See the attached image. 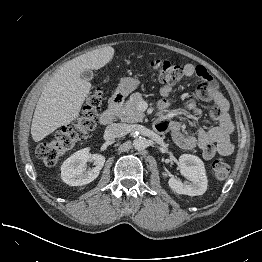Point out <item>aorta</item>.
<instances>
[{
	"mask_svg": "<svg viewBox=\"0 0 262 262\" xmlns=\"http://www.w3.org/2000/svg\"><path fill=\"white\" fill-rule=\"evenodd\" d=\"M133 146L136 150H144L148 146V141L145 137L143 136H138L134 139L133 141Z\"/></svg>",
	"mask_w": 262,
	"mask_h": 262,
	"instance_id": "1",
	"label": "aorta"
}]
</instances>
